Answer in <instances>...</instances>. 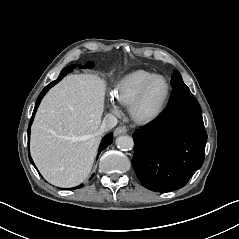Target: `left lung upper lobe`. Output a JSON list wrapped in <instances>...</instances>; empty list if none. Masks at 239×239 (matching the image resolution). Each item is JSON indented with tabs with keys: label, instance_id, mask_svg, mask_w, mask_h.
Here are the masks:
<instances>
[{
	"label": "left lung upper lobe",
	"instance_id": "5c2ea615",
	"mask_svg": "<svg viewBox=\"0 0 239 239\" xmlns=\"http://www.w3.org/2000/svg\"><path fill=\"white\" fill-rule=\"evenodd\" d=\"M171 85L173 88H176L179 86H185V84L182 80V77L178 71L173 72Z\"/></svg>",
	"mask_w": 239,
	"mask_h": 239
}]
</instances>
